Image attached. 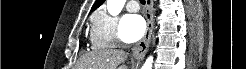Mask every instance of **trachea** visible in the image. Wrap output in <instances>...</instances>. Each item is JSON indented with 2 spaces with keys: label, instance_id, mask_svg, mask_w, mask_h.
Listing matches in <instances>:
<instances>
[{
  "label": "trachea",
  "instance_id": "obj_1",
  "mask_svg": "<svg viewBox=\"0 0 246 69\" xmlns=\"http://www.w3.org/2000/svg\"><path fill=\"white\" fill-rule=\"evenodd\" d=\"M141 4L145 5V0H140Z\"/></svg>",
  "mask_w": 246,
  "mask_h": 69
}]
</instances>
